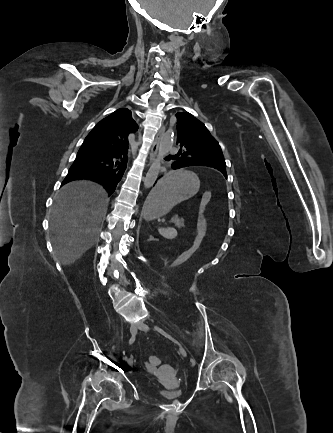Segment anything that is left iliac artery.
Listing matches in <instances>:
<instances>
[{"mask_svg": "<svg viewBox=\"0 0 333 433\" xmlns=\"http://www.w3.org/2000/svg\"><path fill=\"white\" fill-rule=\"evenodd\" d=\"M154 329L157 331V332H159L160 334H162V335H164L165 337H167V338H170V335L168 334V333H166L163 329H161L160 327H158V326H154ZM176 343L180 346V347H182V345L179 343V342H177L176 341Z\"/></svg>", "mask_w": 333, "mask_h": 433, "instance_id": "obj_1", "label": "left iliac artery"}]
</instances>
